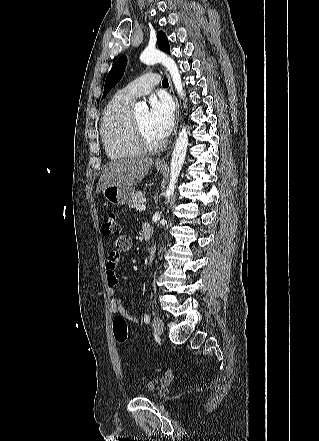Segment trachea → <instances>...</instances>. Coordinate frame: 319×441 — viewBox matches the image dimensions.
I'll return each mask as SVG.
<instances>
[{
	"label": "trachea",
	"instance_id": "1",
	"mask_svg": "<svg viewBox=\"0 0 319 441\" xmlns=\"http://www.w3.org/2000/svg\"><path fill=\"white\" fill-rule=\"evenodd\" d=\"M162 86H164V87L169 86L168 79H163Z\"/></svg>",
	"mask_w": 319,
	"mask_h": 441
}]
</instances>
